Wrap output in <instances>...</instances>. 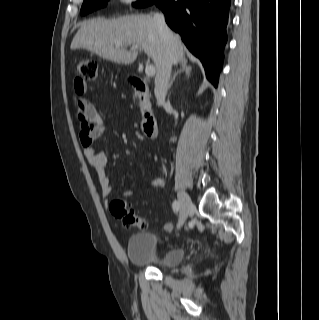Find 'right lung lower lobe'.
Here are the masks:
<instances>
[{"mask_svg":"<svg viewBox=\"0 0 319 320\" xmlns=\"http://www.w3.org/2000/svg\"><path fill=\"white\" fill-rule=\"evenodd\" d=\"M231 0H154L167 24L197 56L207 78L217 86L227 41L226 25ZM147 5V6H149Z\"/></svg>","mask_w":319,"mask_h":320,"instance_id":"right-lung-lower-lobe-1","label":"right lung lower lobe"}]
</instances>
